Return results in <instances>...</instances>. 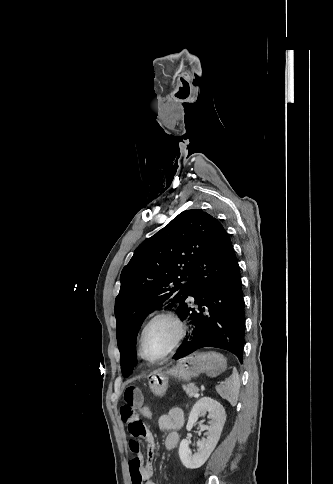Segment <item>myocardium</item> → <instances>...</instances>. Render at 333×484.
<instances>
[{
    "label": "myocardium",
    "mask_w": 333,
    "mask_h": 484,
    "mask_svg": "<svg viewBox=\"0 0 333 484\" xmlns=\"http://www.w3.org/2000/svg\"><path fill=\"white\" fill-rule=\"evenodd\" d=\"M159 320H169L170 322H172L176 327L177 333H176V336L174 337L173 341L169 345V347L160 356H158L156 358H151L144 353V349H143L144 337H145V334H146L148 328L153 323H155L156 321H159ZM186 332H187V327H186L184 320L180 316H178L176 313L171 312V311L159 312V313L155 314L153 317H151L147 321V323L143 326L141 333H140L139 341H138V353L143 359H145L149 362H152V363L160 362V361L166 359L170 354H172L180 346V344L182 343V341L184 340V338L186 336Z\"/></svg>",
    "instance_id": "myocardium-1"
}]
</instances>
